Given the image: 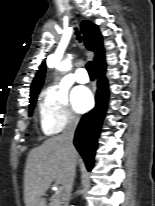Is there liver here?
Here are the masks:
<instances>
[{"mask_svg": "<svg viewBox=\"0 0 155 206\" xmlns=\"http://www.w3.org/2000/svg\"><path fill=\"white\" fill-rule=\"evenodd\" d=\"M71 159L76 165L79 155L76 150L72 155L68 154L62 136L51 137L29 152L24 175L26 206H36L53 181L65 187Z\"/></svg>", "mask_w": 155, "mask_h": 206, "instance_id": "1", "label": "liver"}]
</instances>
